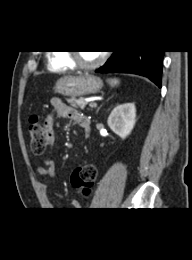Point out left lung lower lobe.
<instances>
[{
  "label": "left lung lower lobe",
  "instance_id": "obj_1",
  "mask_svg": "<svg viewBox=\"0 0 192 260\" xmlns=\"http://www.w3.org/2000/svg\"><path fill=\"white\" fill-rule=\"evenodd\" d=\"M165 51H116L96 72L133 73L149 78L161 87L162 59Z\"/></svg>",
  "mask_w": 192,
  "mask_h": 260
}]
</instances>
